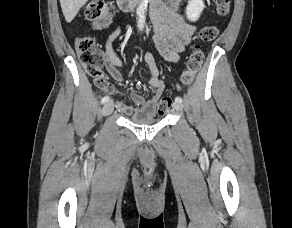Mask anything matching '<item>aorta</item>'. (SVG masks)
Listing matches in <instances>:
<instances>
[{"label":"aorta","mask_w":292,"mask_h":228,"mask_svg":"<svg viewBox=\"0 0 292 228\" xmlns=\"http://www.w3.org/2000/svg\"><path fill=\"white\" fill-rule=\"evenodd\" d=\"M147 6H148V0H141L137 9H136L137 27L139 30L144 29L145 20H146V13H147Z\"/></svg>","instance_id":"1"}]
</instances>
